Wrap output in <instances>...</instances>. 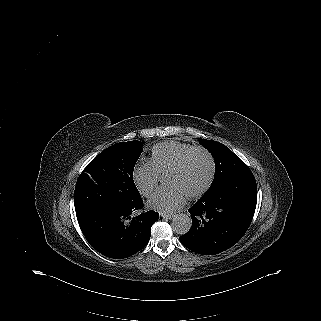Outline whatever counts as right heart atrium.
I'll use <instances>...</instances> for the list:
<instances>
[{
    "instance_id": "obj_1",
    "label": "right heart atrium",
    "mask_w": 321,
    "mask_h": 321,
    "mask_svg": "<svg viewBox=\"0 0 321 321\" xmlns=\"http://www.w3.org/2000/svg\"><path fill=\"white\" fill-rule=\"evenodd\" d=\"M134 181L143 194L152 192L159 181V174L151 161L145 160L138 163L134 169Z\"/></svg>"
}]
</instances>
